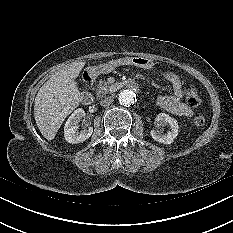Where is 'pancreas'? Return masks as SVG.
<instances>
[{
    "label": "pancreas",
    "instance_id": "pancreas-1",
    "mask_svg": "<svg viewBox=\"0 0 233 233\" xmlns=\"http://www.w3.org/2000/svg\"><path fill=\"white\" fill-rule=\"evenodd\" d=\"M94 90L98 98H103L111 92V86L105 80H100Z\"/></svg>",
    "mask_w": 233,
    "mask_h": 233
}]
</instances>
